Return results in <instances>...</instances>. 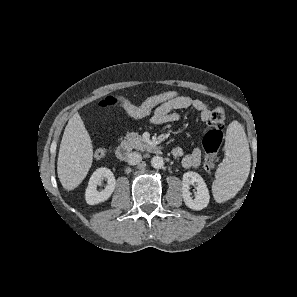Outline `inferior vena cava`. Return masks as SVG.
<instances>
[{
    "mask_svg": "<svg viewBox=\"0 0 297 297\" xmlns=\"http://www.w3.org/2000/svg\"><path fill=\"white\" fill-rule=\"evenodd\" d=\"M142 160V156L139 152H132L127 156V162L130 165L139 164Z\"/></svg>",
    "mask_w": 297,
    "mask_h": 297,
    "instance_id": "1",
    "label": "inferior vena cava"
}]
</instances>
